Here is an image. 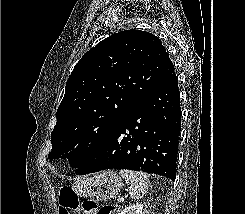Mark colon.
I'll use <instances>...</instances> for the list:
<instances>
[{
  "label": "colon",
  "instance_id": "5ec220e1",
  "mask_svg": "<svg viewBox=\"0 0 245 214\" xmlns=\"http://www.w3.org/2000/svg\"><path fill=\"white\" fill-rule=\"evenodd\" d=\"M74 212L82 214H118L115 206L105 204L96 209V204L92 201L80 203L76 192L70 187H62L59 194V213L72 214Z\"/></svg>",
  "mask_w": 245,
  "mask_h": 214
}]
</instances>
